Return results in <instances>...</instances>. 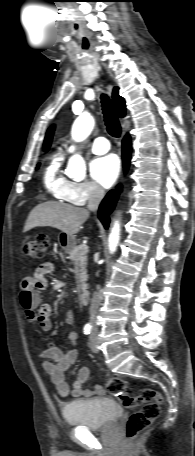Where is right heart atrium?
<instances>
[{
    "label": "right heart atrium",
    "instance_id": "1",
    "mask_svg": "<svg viewBox=\"0 0 195 456\" xmlns=\"http://www.w3.org/2000/svg\"><path fill=\"white\" fill-rule=\"evenodd\" d=\"M102 195V190L93 182H70L66 191L67 200L75 205H84L96 200Z\"/></svg>",
    "mask_w": 195,
    "mask_h": 456
}]
</instances>
